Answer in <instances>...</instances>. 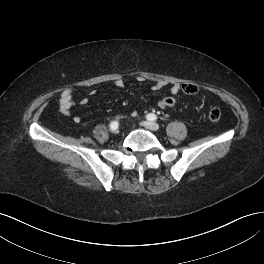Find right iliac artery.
Segmentation results:
<instances>
[{"label":"right iliac artery","instance_id":"82829eb1","mask_svg":"<svg viewBox=\"0 0 264 264\" xmlns=\"http://www.w3.org/2000/svg\"><path fill=\"white\" fill-rule=\"evenodd\" d=\"M118 125H119V124H118L117 121H113V122L110 123V128H111V129H116V128H118Z\"/></svg>","mask_w":264,"mask_h":264}]
</instances>
